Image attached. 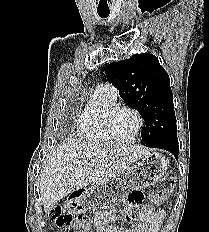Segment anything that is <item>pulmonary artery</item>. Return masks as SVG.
I'll use <instances>...</instances> for the list:
<instances>
[{"label": "pulmonary artery", "instance_id": "1", "mask_svg": "<svg viewBox=\"0 0 209 232\" xmlns=\"http://www.w3.org/2000/svg\"><path fill=\"white\" fill-rule=\"evenodd\" d=\"M97 88L103 90L111 99L117 100L118 91L112 84H101Z\"/></svg>", "mask_w": 209, "mask_h": 232}]
</instances>
